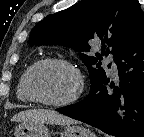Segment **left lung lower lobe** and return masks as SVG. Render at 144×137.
Masks as SVG:
<instances>
[{
    "instance_id": "left-lung-lower-lobe-1",
    "label": "left lung lower lobe",
    "mask_w": 144,
    "mask_h": 137,
    "mask_svg": "<svg viewBox=\"0 0 144 137\" xmlns=\"http://www.w3.org/2000/svg\"><path fill=\"white\" fill-rule=\"evenodd\" d=\"M114 61L119 85L108 92L106 77L83 101L57 111L113 136L144 137V24Z\"/></svg>"
}]
</instances>
